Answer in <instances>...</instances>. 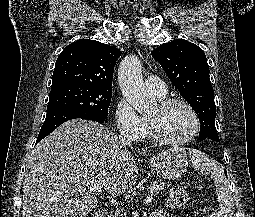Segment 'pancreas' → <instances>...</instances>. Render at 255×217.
I'll use <instances>...</instances> for the list:
<instances>
[{"label": "pancreas", "mask_w": 255, "mask_h": 217, "mask_svg": "<svg viewBox=\"0 0 255 217\" xmlns=\"http://www.w3.org/2000/svg\"><path fill=\"white\" fill-rule=\"evenodd\" d=\"M165 185H166V183L163 182L162 180L155 181L153 183V190H154V192L156 194H159L160 191L165 187ZM113 213L114 214H112V212H111L108 217H126V214L123 213V211L121 209H117Z\"/></svg>", "instance_id": "1"}]
</instances>
